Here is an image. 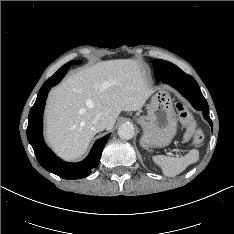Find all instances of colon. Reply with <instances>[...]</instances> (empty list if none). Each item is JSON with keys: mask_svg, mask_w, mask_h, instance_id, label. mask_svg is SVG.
<instances>
[{"mask_svg": "<svg viewBox=\"0 0 234 234\" xmlns=\"http://www.w3.org/2000/svg\"><path fill=\"white\" fill-rule=\"evenodd\" d=\"M176 109L183 126L191 133L193 142L196 145L202 144L205 139L204 134L198 128L197 122L192 116L189 108L184 103L178 102L176 104Z\"/></svg>", "mask_w": 234, "mask_h": 234, "instance_id": "5ec220e1", "label": "colon"}]
</instances>
